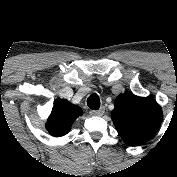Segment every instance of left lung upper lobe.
Wrapping results in <instances>:
<instances>
[{
  "instance_id": "1",
  "label": "left lung upper lobe",
  "mask_w": 177,
  "mask_h": 177,
  "mask_svg": "<svg viewBox=\"0 0 177 177\" xmlns=\"http://www.w3.org/2000/svg\"><path fill=\"white\" fill-rule=\"evenodd\" d=\"M161 107L153 98H142L131 93L119 95L111 118L123 141L139 146L149 141L162 121Z\"/></svg>"
}]
</instances>
